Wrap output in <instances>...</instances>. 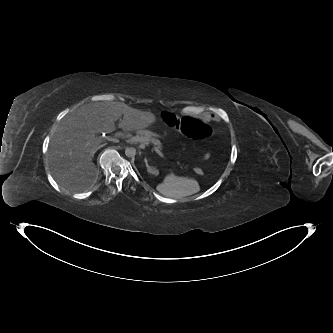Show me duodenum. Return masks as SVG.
Wrapping results in <instances>:
<instances>
[{
    "instance_id": "obj_1",
    "label": "duodenum",
    "mask_w": 333,
    "mask_h": 333,
    "mask_svg": "<svg viewBox=\"0 0 333 333\" xmlns=\"http://www.w3.org/2000/svg\"><path fill=\"white\" fill-rule=\"evenodd\" d=\"M136 135L152 136V131L136 130Z\"/></svg>"
}]
</instances>
